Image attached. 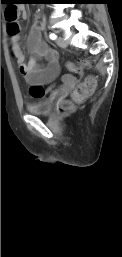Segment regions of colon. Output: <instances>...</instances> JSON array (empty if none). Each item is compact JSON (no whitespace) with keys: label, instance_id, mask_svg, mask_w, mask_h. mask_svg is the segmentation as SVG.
Returning a JSON list of instances; mask_svg holds the SVG:
<instances>
[{"label":"colon","instance_id":"5ec220e1","mask_svg":"<svg viewBox=\"0 0 122 257\" xmlns=\"http://www.w3.org/2000/svg\"><path fill=\"white\" fill-rule=\"evenodd\" d=\"M17 5H4L5 18L7 20V30L9 35H14L19 31V25L17 23ZM87 61H68L67 68L76 74V79H83L82 71L85 67H88ZM59 82L58 80L56 81ZM96 79L93 76L87 77L82 83H80L74 90L70 100H64L60 103L61 111L70 110L75 103H80L89 97L96 88ZM52 89L51 85H41V83H32L28 85L27 94L29 98H48V94Z\"/></svg>","mask_w":122,"mask_h":257}]
</instances>
